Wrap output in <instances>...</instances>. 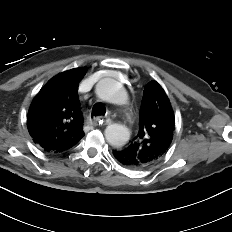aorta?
<instances>
[{
  "mask_svg": "<svg viewBox=\"0 0 232 232\" xmlns=\"http://www.w3.org/2000/svg\"><path fill=\"white\" fill-rule=\"evenodd\" d=\"M96 94L103 101L122 105L128 96L122 84L112 78H104L96 85ZM107 142L114 147L124 146L130 139L129 130L120 124H111L105 129Z\"/></svg>",
  "mask_w": 232,
  "mask_h": 232,
  "instance_id": "aorta-1",
  "label": "aorta"
}]
</instances>
